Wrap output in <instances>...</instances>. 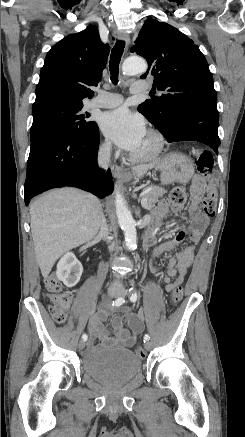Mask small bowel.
I'll return each instance as SVG.
<instances>
[{"label": "small bowel", "mask_w": 245, "mask_h": 437, "mask_svg": "<svg viewBox=\"0 0 245 437\" xmlns=\"http://www.w3.org/2000/svg\"><path fill=\"white\" fill-rule=\"evenodd\" d=\"M205 188V181L201 177H196L191 186L190 201L187 205L191 226L187 227L181 225L173 238L159 245L152 253L151 270L154 273H159V269L154 264L155 259L164 253L172 252L176 246L186 239L190 242L184 250L172 255L169 259L167 272L164 276V282L166 283L165 289L167 292L172 291L183 283L194 260L196 247L207 228L208 216L202 213L198 206V201L204 194ZM183 209L184 206L182 204H175L168 200L162 201L150 230L154 234L161 219L166 218L171 211L181 212ZM107 318L108 312L106 310H98L92 315L88 326L91 335L88 350L95 348L93 342L95 338L99 339L103 345H117L123 348L132 347L136 343L137 337L143 331V311L140 310L137 313L126 311L124 314H117L112 321L115 337H112L110 332L103 325ZM124 319H126L131 332L123 327Z\"/></svg>", "instance_id": "obj_1"}]
</instances>
